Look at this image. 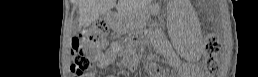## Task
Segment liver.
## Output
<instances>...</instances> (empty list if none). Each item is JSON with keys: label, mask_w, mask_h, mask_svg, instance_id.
Wrapping results in <instances>:
<instances>
[{"label": "liver", "mask_w": 258, "mask_h": 77, "mask_svg": "<svg viewBox=\"0 0 258 77\" xmlns=\"http://www.w3.org/2000/svg\"><path fill=\"white\" fill-rule=\"evenodd\" d=\"M116 6L118 13L126 17L130 13L128 2L119 0L116 5V0H80L79 1V25L87 27L102 14Z\"/></svg>", "instance_id": "obj_1"}]
</instances>
